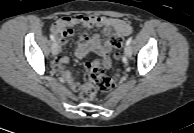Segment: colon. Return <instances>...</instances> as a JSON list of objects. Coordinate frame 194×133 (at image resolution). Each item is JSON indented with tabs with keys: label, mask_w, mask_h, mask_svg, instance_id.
Here are the masks:
<instances>
[{
	"label": "colon",
	"mask_w": 194,
	"mask_h": 133,
	"mask_svg": "<svg viewBox=\"0 0 194 133\" xmlns=\"http://www.w3.org/2000/svg\"><path fill=\"white\" fill-rule=\"evenodd\" d=\"M57 23L61 27L65 25L64 19L59 20ZM124 37L125 36L120 33H115L110 39V42L115 49L112 54V58L114 60L120 59L119 50L122 47ZM101 63L103 64V61L94 60L87 65V83L83 86L80 92V97L85 101H89L94 98L96 88L101 91H110L117 84L119 71L116 70L112 76H107L101 67Z\"/></svg>",
	"instance_id": "colon-1"
}]
</instances>
